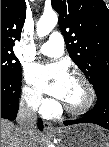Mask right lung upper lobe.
<instances>
[{"label": "right lung upper lobe", "mask_w": 109, "mask_h": 147, "mask_svg": "<svg viewBox=\"0 0 109 147\" xmlns=\"http://www.w3.org/2000/svg\"><path fill=\"white\" fill-rule=\"evenodd\" d=\"M26 17L25 0H1V48L13 50Z\"/></svg>", "instance_id": "obj_1"}]
</instances>
